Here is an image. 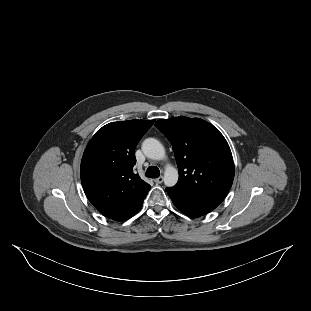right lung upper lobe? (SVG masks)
Segmentation results:
<instances>
[{"instance_id":"obj_1","label":"right lung upper lobe","mask_w":311,"mask_h":311,"mask_svg":"<svg viewBox=\"0 0 311 311\" xmlns=\"http://www.w3.org/2000/svg\"><path fill=\"white\" fill-rule=\"evenodd\" d=\"M155 120L112 122L89 141L81 161V181L89 201L104 216L126 220L137 213L150 185L133 173L135 148Z\"/></svg>"}]
</instances>
